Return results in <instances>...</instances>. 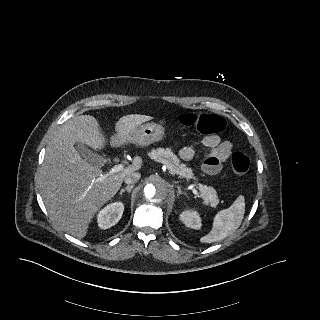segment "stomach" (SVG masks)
<instances>
[{
	"label": "stomach",
	"mask_w": 320,
	"mask_h": 320,
	"mask_svg": "<svg viewBox=\"0 0 320 320\" xmlns=\"http://www.w3.org/2000/svg\"><path fill=\"white\" fill-rule=\"evenodd\" d=\"M131 141L137 145L147 146L165 138V129L157 123H146L130 132Z\"/></svg>",
	"instance_id": "1"
}]
</instances>
